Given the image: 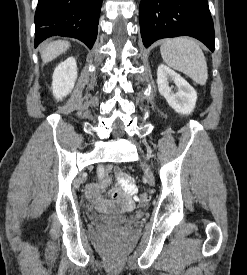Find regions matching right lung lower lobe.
I'll return each mask as SVG.
<instances>
[{
	"label": "right lung lower lobe",
	"instance_id": "obj_1",
	"mask_svg": "<svg viewBox=\"0 0 247 275\" xmlns=\"http://www.w3.org/2000/svg\"><path fill=\"white\" fill-rule=\"evenodd\" d=\"M102 0H38L35 47L50 36L81 40L92 48L98 32Z\"/></svg>",
	"mask_w": 247,
	"mask_h": 275
}]
</instances>
